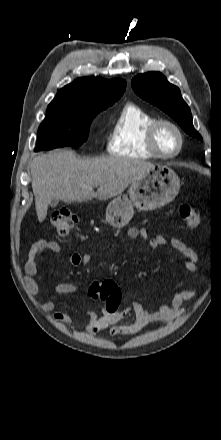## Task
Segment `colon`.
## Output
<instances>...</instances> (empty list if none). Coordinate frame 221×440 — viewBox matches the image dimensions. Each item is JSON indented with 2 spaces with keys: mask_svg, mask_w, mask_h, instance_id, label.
<instances>
[{
  "mask_svg": "<svg viewBox=\"0 0 221 440\" xmlns=\"http://www.w3.org/2000/svg\"><path fill=\"white\" fill-rule=\"evenodd\" d=\"M180 216L187 228H197L201 223L199 210L188 204L180 206ZM51 223L56 233L66 236L78 224V216L68 209L55 210L51 215ZM89 296L94 300L104 301L107 315H118L121 289L114 280L94 281L89 287Z\"/></svg>",
  "mask_w": 221,
  "mask_h": 440,
  "instance_id": "5ec220e1",
  "label": "colon"
}]
</instances>
